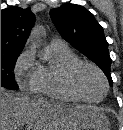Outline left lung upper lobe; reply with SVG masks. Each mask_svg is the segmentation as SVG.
Masks as SVG:
<instances>
[{"mask_svg": "<svg viewBox=\"0 0 123 130\" xmlns=\"http://www.w3.org/2000/svg\"><path fill=\"white\" fill-rule=\"evenodd\" d=\"M50 17L61 36L97 64L112 85L108 43L93 14L80 5L68 3L52 9Z\"/></svg>", "mask_w": 123, "mask_h": 130, "instance_id": "obj_1", "label": "left lung upper lobe"}]
</instances>
